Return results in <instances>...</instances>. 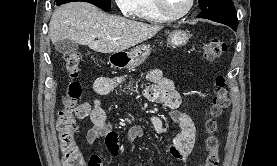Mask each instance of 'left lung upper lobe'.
I'll return each instance as SVG.
<instances>
[{
	"label": "left lung upper lobe",
	"instance_id": "left-lung-upper-lobe-1",
	"mask_svg": "<svg viewBox=\"0 0 277 166\" xmlns=\"http://www.w3.org/2000/svg\"><path fill=\"white\" fill-rule=\"evenodd\" d=\"M201 13L198 17L220 22L237 28V16L232 0H199Z\"/></svg>",
	"mask_w": 277,
	"mask_h": 166
}]
</instances>
